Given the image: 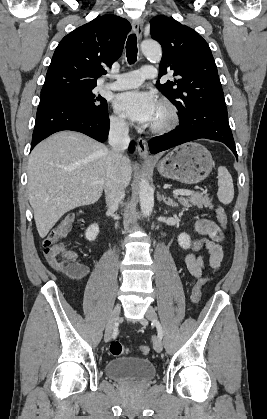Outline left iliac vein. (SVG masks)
<instances>
[{
  "label": "left iliac vein",
  "instance_id": "obj_1",
  "mask_svg": "<svg viewBox=\"0 0 267 419\" xmlns=\"http://www.w3.org/2000/svg\"><path fill=\"white\" fill-rule=\"evenodd\" d=\"M146 318L148 320H151V321L157 320V314H156V312H155V310H154L153 307H149L147 309ZM141 323H142V325H146L147 324V320L146 319H142L141 320ZM153 348H154V350L156 352H161L162 351L163 344H162V340L159 337H156L153 340Z\"/></svg>",
  "mask_w": 267,
  "mask_h": 419
}]
</instances>
